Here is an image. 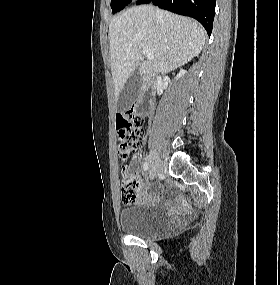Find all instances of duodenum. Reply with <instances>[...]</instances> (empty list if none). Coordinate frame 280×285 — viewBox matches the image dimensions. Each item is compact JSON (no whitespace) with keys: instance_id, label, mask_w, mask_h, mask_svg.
Wrapping results in <instances>:
<instances>
[{"instance_id":"duodenum-1","label":"duodenum","mask_w":280,"mask_h":285,"mask_svg":"<svg viewBox=\"0 0 280 285\" xmlns=\"http://www.w3.org/2000/svg\"><path fill=\"white\" fill-rule=\"evenodd\" d=\"M150 91H151V87H150V85L148 84V85L144 88L143 97H142V99L140 100V102L138 103V107L141 108L142 113H143L144 115H147V114H148V111H149V104H150V101H151V98H150Z\"/></svg>"}]
</instances>
